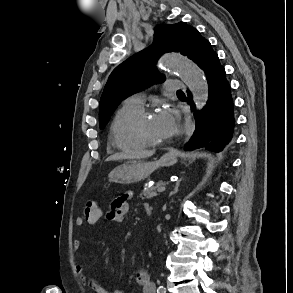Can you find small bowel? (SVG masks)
<instances>
[{
    "mask_svg": "<svg viewBox=\"0 0 293 293\" xmlns=\"http://www.w3.org/2000/svg\"><path fill=\"white\" fill-rule=\"evenodd\" d=\"M133 198L132 192H126L113 200L111 203V207L109 211L106 213V219L111 222L115 223H122L124 221V218L129 210V201ZM147 206H150L149 204L145 205V208ZM83 224V220L81 218H78L76 220V225L81 226ZM75 250H79L81 248V242L79 240H76L73 245ZM77 272L82 278L83 282L92 288L97 293H126V290L123 289H108L97 282H95L93 279L89 278L84 273V266L78 265ZM134 278L136 280V283L141 287L142 293H155V285L151 280L150 274L145 270H138L134 274Z\"/></svg>",
    "mask_w": 293,
    "mask_h": 293,
    "instance_id": "small-bowel-1",
    "label": "small bowel"
}]
</instances>
